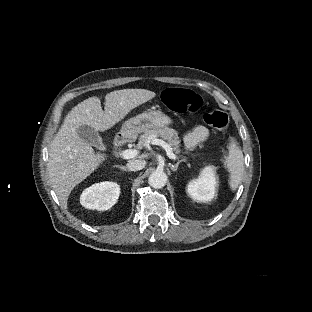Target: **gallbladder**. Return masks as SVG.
Returning a JSON list of instances; mask_svg holds the SVG:
<instances>
[{
	"label": "gallbladder",
	"mask_w": 312,
	"mask_h": 312,
	"mask_svg": "<svg viewBox=\"0 0 312 312\" xmlns=\"http://www.w3.org/2000/svg\"><path fill=\"white\" fill-rule=\"evenodd\" d=\"M77 133L83 141L92 145L96 150L101 152L108 151V147L101 139L100 134L93 128L87 125H82L78 128Z\"/></svg>",
	"instance_id": "gallbladder-1"
}]
</instances>
